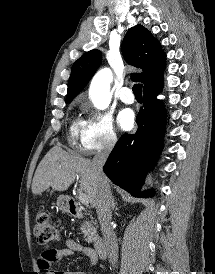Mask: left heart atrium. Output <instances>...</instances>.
I'll use <instances>...</instances> for the list:
<instances>
[{
  "instance_id": "1",
  "label": "left heart atrium",
  "mask_w": 215,
  "mask_h": 274,
  "mask_svg": "<svg viewBox=\"0 0 215 274\" xmlns=\"http://www.w3.org/2000/svg\"><path fill=\"white\" fill-rule=\"evenodd\" d=\"M117 121L121 129L123 130L130 129L134 122L133 111L130 109L121 110L118 114Z\"/></svg>"
}]
</instances>
